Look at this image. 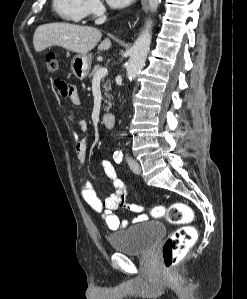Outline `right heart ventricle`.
Returning <instances> with one entry per match:
<instances>
[{
  "label": "right heart ventricle",
  "instance_id": "obj_1",
  "mask_svg": "<svg viewBox=\"0 0 247 299\" xmlns=\"http://www.w3.org/2000/svg\"><path fill=\"white\" fill-rule=\"evenodd\" d=\"M52 7L65 22L79 23L88 15L86 0H52Z\"/></svg>",
  "mask_w": 247,
  "mask_h": 299
}]
</instances>
